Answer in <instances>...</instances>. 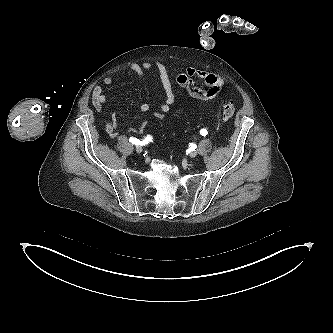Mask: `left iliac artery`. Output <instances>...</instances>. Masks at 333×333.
<instances>
[{"label": "left iliac artery", "mask_w": 333, "mask_h": 333, "mask_svg": "<svg viewBox=\"0 0 333 333\" xmlns=\"http://www.w3.org/2000/svg\"><path fill=\"white\" fill-rule=\"evenodd\" d=\"M200 134H201L202 136H206V135L208 134L207 129H201Z\"/></svg>", "instance_id": "left-iliac-artery-1"}]
</instances>
